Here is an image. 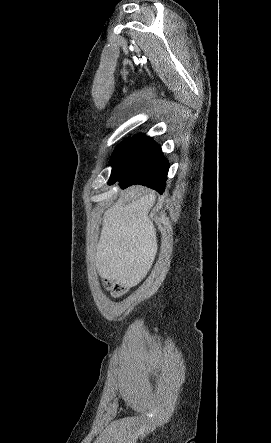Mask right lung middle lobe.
Returning a JSON list of instances; mask_svg holds the SVG:
<instances>
[{"label":"right lung middle lobe","instance_id":"obj_1","mask_svg":"<svg viewBox=\"0 0 271 443\" xmlns=\"http://www.w3.org/2000/svg\"><path fill=\"white\" fill-rule=\"evenodd\" d=\"M126 141L121 143L116 150L114 151L113 155H112V164L116 161V159L118 158V156L120 155L124 145H125Z\"/></svg>","mask_w":271,"mask_h":443}]
</instances>
